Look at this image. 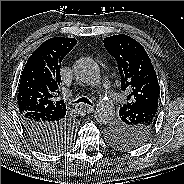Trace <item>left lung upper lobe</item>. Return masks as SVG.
<instances>
[{"mask_svg":"<svg viewBox=\"0 0 184 184\" xmlns=\"http://www.w3.org/2000/svg\"><path fill=\"white\" fill-rule=\"evenodd\" d=\"M106 50L117 61L121 88L129 91L128 103L108 129L110 142L118 149L129 150L146 141L156 121L159 84L154 67L143 46L135 39L114 35L104 39Z\"/></svg>","mask_w":184,"mask_h":184,"instance_id":"obj_1","label":"left lung upper lobe"}]
</instances>
